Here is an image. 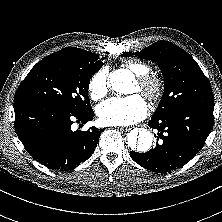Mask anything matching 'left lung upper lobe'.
<instances>
[{
  "label": "left lung upper lobe",
  "instance_id": "5c2ea615",
  "mask_svg": "<svg viewBox=\"0 0 222 222\" xmlns=\"http://www.w3.org/2000/svg\"><path fill=\"white\" fill-rule=\"evenodd\" d=\"M154 61L164 76V93L153 117H161L188 105L214 106L211 85L197 62L182 48L158 41L135 53ZM123 57L131 53L121 54Z\"/></svg>",
  "mask_w": 222,
  "mask_h": 222
}]
</instances>
